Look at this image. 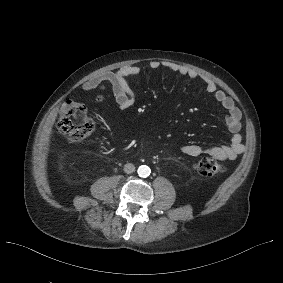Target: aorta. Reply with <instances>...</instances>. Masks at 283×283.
Wrapping results in <instances>:
<instances>
[{
	"label": "aorta",
	"instance_id": "762f6f07",
	"mask_svg": "<svg viewBox=\"0 0 283 283\" xmlns=\"http://www.w3.org/2000/svg\"><path fill=\"white\" fill-rule=\"evenodd\" d=\"M138 175L140 177H148L151 173V170L148 166L146 165H141L139 168H138Z\"/></svg>",
	"mask_w": 283,
	"mask_h": 283
}]
</instances>
